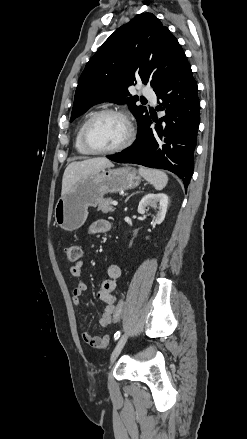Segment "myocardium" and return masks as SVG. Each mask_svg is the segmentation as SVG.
I'll return each mask as SVG.
<instances>
[{"label":"myocardium","mask_w":247,"mask_h":439,"mask_svg":"<svg viewBox=\"0 0 247 439\" xmlns=\"http://www.w3.org/2000/svg\"><path fill=\"white\" fill-rule=\"evenodd\" d=\"M105 115L117 116V117H120L121 119H123L127 125L128 134H127V137L124 140V142L121 143L120 145H118L117 147H114L112 149L101 150V149H96L91 145V143L89 141L88 133H89V128L92 125V123L96 119H98L99 117L105 116ZM134 139H135V128H134L133 122H132L130 116L125 111L120 110V109L108 108V109L99 110V111L93 113L85 121V123L82 127V131H81L82 145L90 154H95V155H110V154H115V153L121 152V151L125 150L126 148H128L133 143Z\"/></svg>","instance_id":"f54148a6"}]
</instances>
